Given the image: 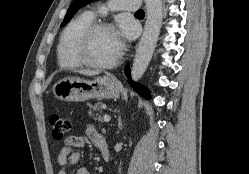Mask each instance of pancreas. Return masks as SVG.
Returning <instances> with one entry per match:
<instances>
[{"instance_id":"cf45deb5","label":"pancreas","mask_w":249,"mask_h":174,"mask_svg":"<svg viewBox=\"0 0 249 174\" xmlns=\"http://www.w3.org/2000/svg\"><path fill=\"white\" fill-rule=\"evenodd\" d=\"M106 107L105 104L101 103V102H98V103H95L94 105L92 104H89V108H90V115L92 114V110L93 111H102V109H104ZM97 120H101V116L98 114V117L96 118Z\"/></svg>"}]
</instances>
